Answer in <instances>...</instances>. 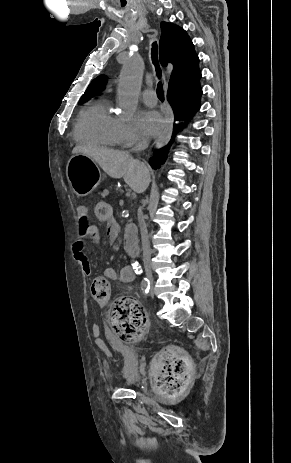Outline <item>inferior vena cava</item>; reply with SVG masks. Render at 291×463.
Returning <instances> with one entry per match:
<instances>
[{
  "instance_id": "obj_1",
  "label": "inferior vena cava",
  "mask_w": 291,
  "mask_h": 463,
  "mask_svg": "<svg viewBox=\"0 0 291 463\" xmlns=\"http://www.w3.org/2000/svg\"><path fill=\"white\" fill-rule=\"evenodd\" d=\"M148 145H149L148 139L144 138L132 150L133 151H142V150L146 149L148 147ZM139 226H140L141 239H142L143 257L145 259H147V258H150L151 249H150L147 226H146V223H145V220H144L143 216H141V218H140ZM146 275L148 277H150L152 275L151 271L147 270Z\"/></svg>"
}]
</instances>
